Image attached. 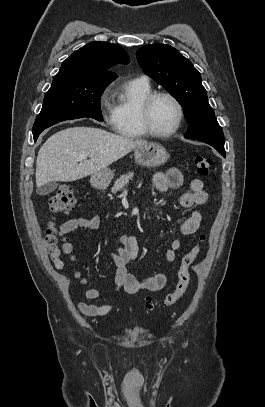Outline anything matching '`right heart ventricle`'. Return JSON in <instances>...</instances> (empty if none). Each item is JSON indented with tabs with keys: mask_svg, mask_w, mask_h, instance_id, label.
<instances>
[{
	"mask_svg": "<svg viewBox=\"0 0 265 407\" xmlns=\"http://www.w3.org/2000/svg\"><path fill=\"white\" fill-rule=\"evenodd\" d=\"M152 93L149 81L140 78L126 82L113 109V128L125 138H144L148 134L140 122V106Z\"/></svg>",
	"mask_w": 265,
	"mask_h": 407,
	"instance_id": "obj_1",
	"label": "right heart ventricle"
}]
</instances>
